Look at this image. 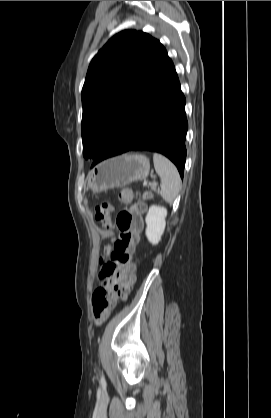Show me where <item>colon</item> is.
Returning <instances> with one entry per match:
<instances>
[{
    "label": "colon",
    "mask_w": 271,
    "mask_h": 418,
    "mask_svg": "<svg viewBox=\"0 0 271 418\" xmlns=\"http://www.w3.org/2000/svg\"><path fill=\"white\" fill-rule=\"evenodd\" d=\"M119 200L129 204L116 215V226L120 231L119 237L113 244L110 259L102 264L100 278H112V287L100 286L92 297L93 315L96 323H102L112 308L115 298L125 299L135 280L132 252L139 242L142 229L141 215L144 211L142 201L133 203V193L128 188L119 192ZM144 198H149L145 193ZM113 207L110 203H101L95 208V218L104 227L111 226L110 214Z\"/></svg>",
    "instance_id": "5ec220e1"
}]
</instances>
